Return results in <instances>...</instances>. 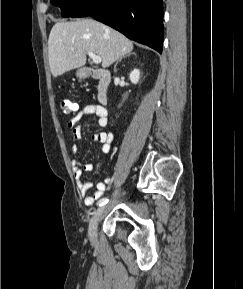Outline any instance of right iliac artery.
<instances>
[{"instance_id":"right-iliac-artery-1","label":"right iliac artery","mask_w":243,"mask_h":289,"mask_svg":"<svg viewBox=\"0 0 243 289\" xmlns=\"http://www.w3.org/2000/svg\"><path fill=\"white\" fill-rule=\"evenodd\" d=\"M108 202V198H102L101 200L98 201L97 205L98 206H103L104 204H106Z\"/></svg>"}]
</instances>
